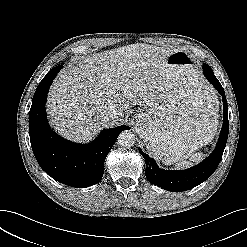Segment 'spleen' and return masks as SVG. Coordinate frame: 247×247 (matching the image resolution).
<instances>
[{
  "label": "spleen",
  "mask_w": 247,
  "mask_h": 247,
  "mask_svg": "<svg viewBox=\"0 0 247 247\" xmlns=\"http://www.w3.org/2000/svg\"><path fill=\"white\" fill-rule=\"evenodd\" d=\"M210 140L206 141V143H208ZM203 156H204L203 153L196 152L191 155V157L189 158V161H180L176 163V167L177 168H188L192 166L194 163L200 162L203 159ZM165 164H168V163H165Z\"/></svg>",
  "instance_id": "obj_1"
}]
</instances>
